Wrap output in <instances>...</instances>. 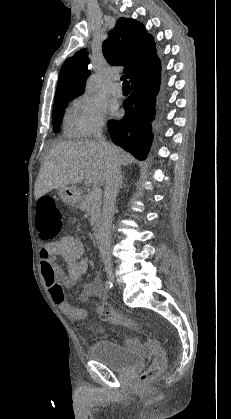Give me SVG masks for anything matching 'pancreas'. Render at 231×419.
Returning a JSON list of instances; mask_svg holds the SVG:
<instances>
[{
  "label": "pancreas",
  "mask_w": 231,
  "mask_h": 419,
  "mask_svg": "<svg viewBox=\"0 0 231 419\" xmlns=\"http://www.w3.org/2000/svg\"><path fill=\"white\" fill-rule=\"evenodd\" d=\"M101 205V198H92L90 193H88L83 195V199L78 204V207L90 214V224L94 225L101 217Z\"/></svg>",
  "instance_id": "pancreas-1"
}]
</instances>
